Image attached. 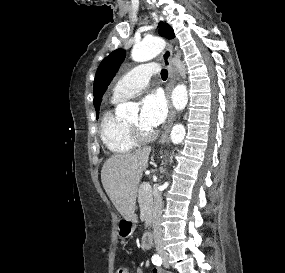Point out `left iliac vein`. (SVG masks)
Instances as JSON below:
<instances>
[{
    "mask_svg": "<svg viewBox=\"0 0 285 273\" xmlns=\"http://www.w3.org/2000/svg\"><path fill=\"white\" fill-rule=\"evenodd\" d=\"M164 267H166V268L169 267V264H168L167 260H164Z\"/></svg>",
    "mask_w": 285,
    "mask_h": 273,
    "instance_id": "4c4485c4",
    "label": "left iliac vein"
}]
</instances>
